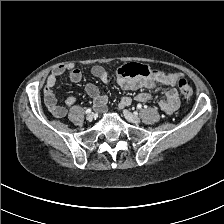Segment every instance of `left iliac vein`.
Segmentation results:
<instances>
[{
	"label": "left iliac vein",
	"mask_w": 224,
	"mask_h": 224,
	"mask_svg": "<svg viewBox=\"0 0 224 224\" xmlns=\"http://www.w3.org/2000/svg\"><path fill=\"white\" fill-rule=\"evenodd\" d=\"M123 113L129 122L135 123V124L140 123V118L137 115L129 112L128 110H123Z\"/></svg>",
	"instance_id": "4c4485c4"
}]
</instances>
